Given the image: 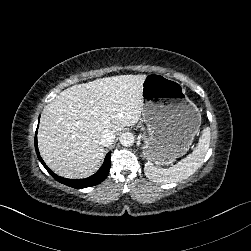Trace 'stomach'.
<instances>
[{"label":"stomach","instance_id":"1","mask_svg":"<svg viewBox=\"0 0 251 251\" xmlns=\"http://www.w3.org/2000/svg\"><path fill=\"white\" fill-rule=\"evenodd\" d=\"M142 119L151 139L149 156L169 163L185 152L201 124V114L187 98L183 85L160 73H149L142 83Z\"/></svg>","mask_w":251,"mask_h":251}]
</instances>
